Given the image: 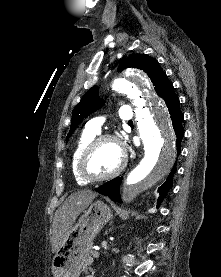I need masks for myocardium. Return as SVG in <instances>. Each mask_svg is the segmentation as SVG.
<instances>
[{
    "instance_id": "obj_1",
    "label": "myocardium",
    "mask_w": 221,
    "mask_h": 277,
    "mask_svg": "<svg viewBox=\"0 0 221 277\" xmlns=\"http://www.w3.org/2000/svg\"><path fill=\"white\" fill-rule=\"evenodd\" d=\"M106 141L114 142L119 146L121 150V161L117 166V168L108 174L100 175V176L92 175L87 169V162L90 156L92 155V153L97 149V147ZM126 163H127V155L120 139L117 136L112 134H102V135L96 136L85 147V149L81 153V156L78 161V172H79V175L87 182H101L118 176L125 168Z\"/></svg>"
}]
</instances>
